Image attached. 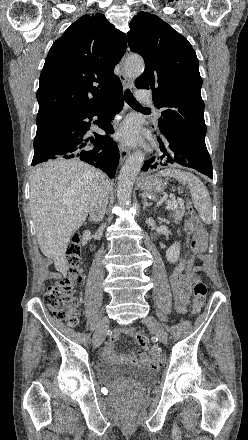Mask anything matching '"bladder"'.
<instances>
[{
  "label": "bladder",
  "instance_id": "bladder-1",
  "mask_svg": "<svg viewBox=\"0 0 248 440\" xmlns=\"http://www.w3.org/2000/svg\"><path fill=\"white\" fill-rule=\"evenodd\" d=\"M96 373L100 381L116 391H142L156 380L154 370L132 364L102 362L97 365Z\"/></svg>",
  "mask_w": 248,
  "mask_h": 440
}]
</instances>
